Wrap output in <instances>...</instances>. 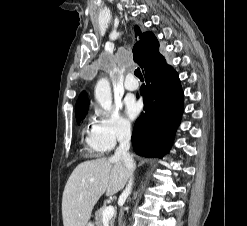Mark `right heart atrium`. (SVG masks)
Returning a JSON list of instances; mask_svg holds the SVG:
<instances>
[{
    "mask_svg": "<svg viewBox=\"0 0 247 226\" xmlns=\"http://www.w3.org/2000/svg\"><path fill=\"white\" fill-rule=\"evenodd\" d=\"M132 127L119 111L114 110L108 115H99L92 126L93 140L106 151L112 150L117 144L127 141Z\"/></svg>",
    "mask_w": 247,
    "mask_h": 226,
    "instance_id": "d8ad5b80",
    "label": "right heart atrium"
}]
</instances>
